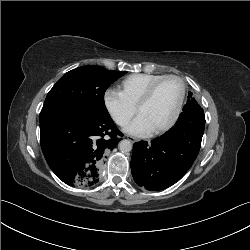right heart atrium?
Wrapping results in <instances>:
<instances>
[{
  "mask_svg": "<svg viewBox=\"0 0 250 250\" xmlns=\"http://www.w3.org/2000/svg\"><path fill=\"white\" fill-rule=\"evenodd\" d=\"M103 101L108 114L119 126L126 125L136 112V107L116 89L106 90Z\"/></svg>",
  "mask_w": 250,
  "mask_h": 250,
  "instance_id": "1",
  "label": "right heart atrium"
}]
</instances>
